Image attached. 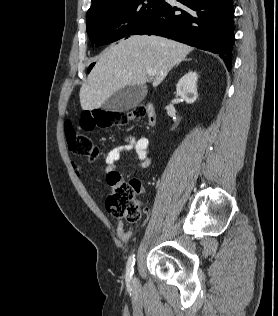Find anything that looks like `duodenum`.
Returning a JSON list of instances; mask_svg holds the SVG:
<instances>
[{
  "instance_id": "1",
  "label": "duodenum",
  "mask_w": 278,
  "mask_h": 316,
  "mask_svg": "<svg viewBox=\"0 0 278 316\" xmlns=\"http://www.w3.org/2000/svg\"><path fill=\"white\" fill-rule=\"evenodd\" d=\"M146 112H147V120L150 126H154L156 123V112L154 106L152 104L146 105Z\"/></svg>"
}]
</instances>
